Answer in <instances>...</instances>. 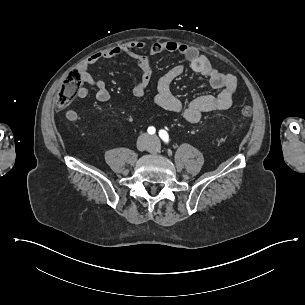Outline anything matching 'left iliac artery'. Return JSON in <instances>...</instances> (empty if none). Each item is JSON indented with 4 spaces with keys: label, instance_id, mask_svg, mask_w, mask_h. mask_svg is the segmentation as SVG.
Masks as SVG:
<instances>
[{
    "label": "left iliac artery",
    "instance_id": "1",
    "mask_svg": "<svg viewBox=\"0 0 305 305\" xmlns=\"http://www.w3.org/2000/svg\"><path fill=\"white\" fill-rule=\"evenodd\" d=\"M159 136L161 137V139L164 142H168L169 141V136H168V134H167V132L165 130H160L159 131Z\"/></svg>",
    "mask_w": 305,
    "mask_h": 305
}]
</instances>
